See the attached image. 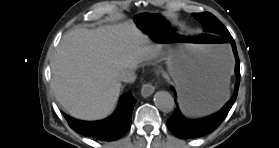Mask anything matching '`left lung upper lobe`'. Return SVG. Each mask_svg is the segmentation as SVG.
Returning a JSON list of instances; mask_svg holds the SVG:
<instances>
[{"mask_svg":"<svg viewBox=\"0 0 279 148\" xmlns=\"http://www.w3.org/2000/svg\"><path fill=\"white\" fill-rule=\"evenodd\" d=\"M193 16L202 23L205 32L218 37H227L230 35L229 31L211 13H194Z\"/></svg>","mask_w":279,"mask_h":148,"instance_id":"left-lung-upper-lobe-1","label":"left lung upper lobe"}]
</instances>
